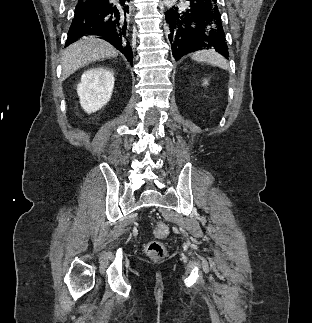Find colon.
I'll use <instances>...</instances> for the list:
<instances>
[{
    "label": "colon",
    "mask_w": 312,
    "mask_h": 323,
    "mask_svg": "<svg viewBox=\"0 0 312 323\" xmlns=\"http://www.w3.org/2000/svg\"><path fill=\"white\" fill-rule=\"evenodd\" d=\"M167 233V227L166 225L159 223L155 228H154V234L155 235H160V234H165ZM145 252L155 258V259H161L165 255V248L162 243L158 241H150L146 247H145Z\"/></svg>",
    "instance_id": "5ec220e1"
}]
</instances>
